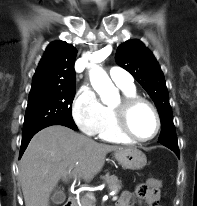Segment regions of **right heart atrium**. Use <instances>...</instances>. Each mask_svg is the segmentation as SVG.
Listing matches in <instances>:
<instances>
[{"instance_id": "right-heart-atrium-1", "label": "right heart atrium", "mask_w": 197, "mask_h": 206, "mask_svg": "<svg viewBox=\"0 0 197 206\" xmlns=\"http://www.w3.org/2000/svg\"><path fill=\"white\" fill-rule=\"evenodd\" d=\"M105 107L89 86H82L72 103V116L86 135H95L103 121Z\"/></svg>"}]
</instances>
